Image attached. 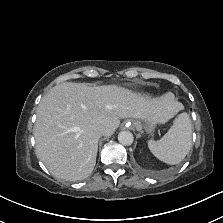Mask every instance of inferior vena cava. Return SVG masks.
Segmentation results:
<instances>
[{
  "label": "inferior vena cava",
  "instance_id": "602c4592",
  "mask_svg": "<svg viewBox=\"0 0 223 223\" xmlns=\"http://www.w3.org/2000/svg\"><path fill=\"white\" fill-rule=\"evenodd\" d=\"M94 131L98 136H102L105 134V127L103 125H96Z\"/></svg>",
  "mask_w": 223,
  "mask_h": 223
}]
</instances>
